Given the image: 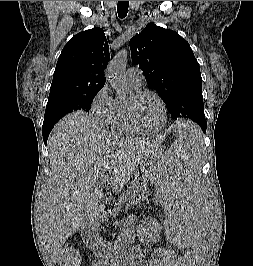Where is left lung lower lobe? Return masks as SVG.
Masks as SVG:
<instances>
[{
  "instance_id": "0a47b994",
  "label": "left lung lower lobe",
  "mask_w": 253,
  "mask_h": 266,
  "mask_svg": "<svg viewBox=\"0 0 253 266\" xmlns=\"http://www.w3.org/2000/svg\"><path fill=\"white\" fill-rule=\"evenodd\" d=\"M200 127L202 128L203 132L205 133V132H206V127H207V126L205 127V126L202 125V126H200Z\"/></svg>"
}]
</instances>
